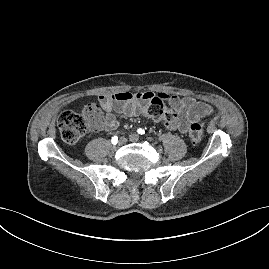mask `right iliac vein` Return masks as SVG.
<instances>
[{
  "label": "right iliac vein",
  "instance_id": "right-iliac-vein-1",
  "mask_svg": "<svg viewBox=\"0 0 269 269\" xmlns=\"http://www.w3.org/2000/svg\"><path fill=\"white\" fill-rule=\"evenodd\" d=\"M127 143V140L125 138H121L118 142L117 145L119 147H122L123 145H125Z\"/></svg>",
  "mask_w": 269,
  "mask_h": 269
}]
</instances>
